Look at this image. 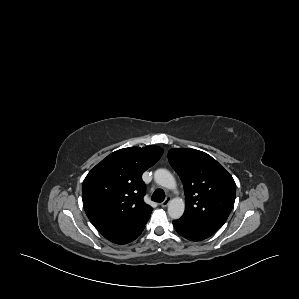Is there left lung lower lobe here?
<instances>
[{"label": "left lung lower lobe", "instance_id": "0a47b994", "mask_svg": "<svg viewBox=\"0 0 299 299\" xmlns=\"http://www.w3.org/2000/svg\"><path fill=\"white\" fill-rule=\"evenodd\" d=\"M173 225L178 234L190 241H201L210 237L213 232L199 226L191 225L186 219L173 221Z\"/></svg>", "mask_w": 299, "mask_h": 299}]
</instances>
